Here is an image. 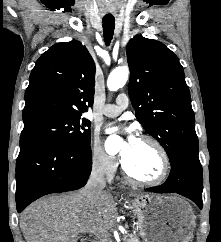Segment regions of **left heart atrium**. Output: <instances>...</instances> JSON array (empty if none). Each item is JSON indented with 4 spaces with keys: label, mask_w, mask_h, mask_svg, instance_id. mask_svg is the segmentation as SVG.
Segmentation results:
<instances>
[{
    "label": "left heart atrium",
    "mask_w": 221,
    "mask_h": 242,
    "mask_svg": "<svg viewBox=\"0 0 221 242\" xmlns=\"http://www.w3.org/2000/svg\"><path fill=\"white\" fill-rule=\"evenodd\" d=\"M109 133L121 132L125 136L124 147L122 150V157L128 153L137 143L138 139L133 133V129L127 125L112 126L108 129Z\"/></svg>",
    "instance_id": "left-heart-atrium-1"
}]
</instances>
